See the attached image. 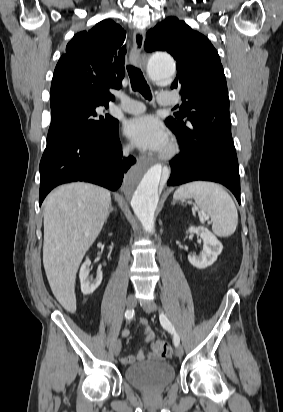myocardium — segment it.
<instances>
[{"label": "myocardium", "mask_w": 283, "mask_h": 412, "mask_svg": "<svg viewBox=\"0 0 283 412\" xmlns=\"http://www.w3.org/2000/svg\"><path fill=\"white\" fill-rule=\"evenodd\" d=\"M178 145L174 140H170L166 148L159 154V157L163 160L173 158L178 153Z\"/></svg>", "instance_id": "1"}]
</instances>
